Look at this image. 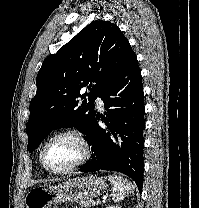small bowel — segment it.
Wrapping results in <instances>:
<instances>
[{
  "label": "small bowel",
  "mask_w": 199,
  "mask_h": 208,
  "mask_svg": "<svg viewBox=\"0 0 199 208\" xmlns=\"http://www.w3.org/2000/svg\"><path fill=\"white\" fill-rule=\"evenodd\" d=\"M54 208H65V207H59V206H57V207H54Z\"/></svg>",
  "instance_id": "obj_1"
}]
</instances>
